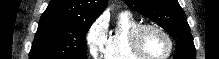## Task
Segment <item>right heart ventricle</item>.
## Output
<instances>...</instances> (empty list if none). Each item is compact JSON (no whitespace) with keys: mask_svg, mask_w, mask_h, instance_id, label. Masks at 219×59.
<instances>
[{"mask_svg":"<svg viewBox=\"0 0 219 59\" xmlns=\"http://www.w3.org/2000/svg\"><path fill=\"white\" fill-rule=\"evenodd\" d=\"M140 23L129 12H121L113 30L107 33V39L102 51L104 59H141L130 48V36Z\"/></svg>","mask_w":219,"mask_h":59,"instance_id":"1","label":"right heart ventricle"}]
</instances>
